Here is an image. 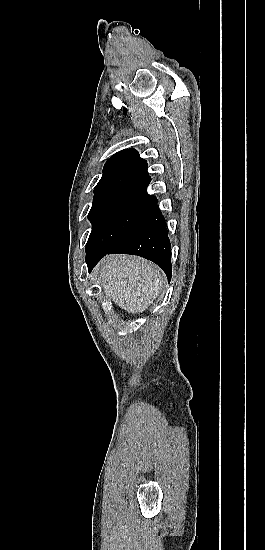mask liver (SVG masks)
Segmentation results:
<instances>
[{"label": "liver", "instance_id": "obj_1", "mask_svg": "<svg viewBox=\"0 0 265 550\" xmlns=\"http://www.w3.org/2000/svg\"><path fill=\"white\" fill-rule=\"evenodd\" d=\"M99 283L128 313L146 310L159 296L165 276L151 262L134 256H107L97 266Z\"/></svg>", "mask_w": 265, "mask_h": 550}]
</instances>
